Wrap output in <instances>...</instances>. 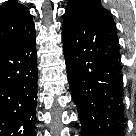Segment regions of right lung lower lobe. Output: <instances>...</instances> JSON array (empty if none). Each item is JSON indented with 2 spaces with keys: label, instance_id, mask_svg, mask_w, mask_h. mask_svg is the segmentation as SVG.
<instances>
[{
  "label": "right lung lower lobe",
  "instance_id": "1",
  "mask_svg": "<svg viewBox=\"0 0 136 136\" xmlns=\"http://www.w3.org/2000/svg\"><path fill=\"white\" fill-rule=\"evenodd\" d=\"M35 39L0 47V136L35 135Z\"/></svg>",
  "mask_w": 136,
  "mask_h": 136
}]
</instances>
